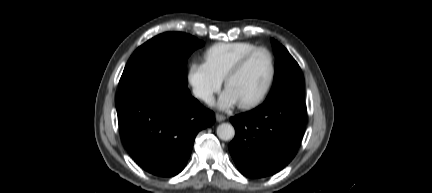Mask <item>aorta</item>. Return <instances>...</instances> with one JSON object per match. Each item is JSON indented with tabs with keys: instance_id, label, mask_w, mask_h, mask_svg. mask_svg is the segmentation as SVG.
Returning <instances> with one entry per match:
<instances>
[{
	"instance_id": "aorta-1",
	"label": "aorta",
	"mask_w": 432,
	"mask_h": 193,
	"mask_svg": "<svg viewBox=\"0 0 432 193\" xmlns=\"http://www.w3.org/2000/svg\"><path fill=\"white\" fill-rule=\"evenodd\" d=\"M217 136L223 141L232 140L235 136V129L229 123H222L217 127Z\"/></svg>"
}]
</instances>
